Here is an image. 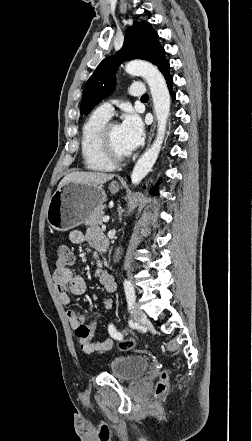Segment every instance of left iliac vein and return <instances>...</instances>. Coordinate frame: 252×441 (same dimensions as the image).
<instances>
[{
	"instance_id": "obj_1",
	"label": "left iliac vein",
	"mask_w": 252,
	"mask_h": 441,
	"mask_svg": "<svg viewBox=\"0 0 252 441\" xmlns=\"http://www.w3.org/2000/svg\"><path fill=\"white\" fill-rule=\"evenodd\" d=\"M133 317L138 323L141 322V320L145 317L143 310L137 304L133 306Z\"/></svg>"
}]
</instances>
